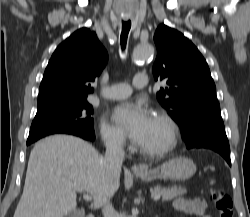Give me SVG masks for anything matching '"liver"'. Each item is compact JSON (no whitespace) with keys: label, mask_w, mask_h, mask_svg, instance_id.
Returning <instances> with one entry per match:
<instances>
[{"label":"liver","mask_w":250,"mask_h":217,"mask_svg":"<svg viewBox=\"0 0 250 217\" xmlns=\"http://www.w3.org/2000/svg\"><path fill=\"white\" fill-rule=\"evenodd\" d=\"M120 175H110L104 158L83 139L54 135L37 142L28 161L23 194L14 217H64L75 211L83 188L103 206L117 191Z\"/></svg>","instance_id":"1"}]
</instances>
